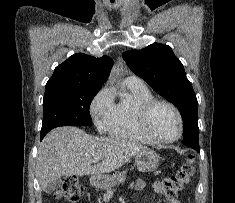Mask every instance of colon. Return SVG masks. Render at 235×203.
<instances>
[{
  "instance_id": "obj_1",
  "label": "colon",
  "mask_w": 235,
  "mask_h": 203,
  "mask_svg": "<svg viewBox=\"0 0 235 203\" xmlns=\"http://www.w3.org/2000/svg\"><path fill=\"white\" fill-rule=\"evenodd\" d=\"M193 174V158L189 156L186 163L175 175L157 181L154 190L165 199L174 200ZM83 193V187L78 179L75 176H66L54 195L57 199H65L75 203L82 198Z\"/></svg>"
}]
</instances>
